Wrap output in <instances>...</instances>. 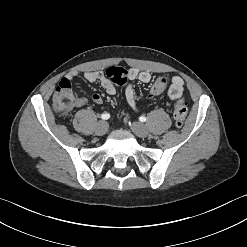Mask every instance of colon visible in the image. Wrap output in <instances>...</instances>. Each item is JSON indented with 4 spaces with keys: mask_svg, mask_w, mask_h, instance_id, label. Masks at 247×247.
<instances>
[{
    "mask_svg": "<svg viewBox=\"0 0 247 247\" xmlns=\"http://www.w3.org/2000/svg\"><path fill=\"white\" fill-rule=\"evenodd\" d=\"M105 76L116 85H124L129 77V72L123 67H110L105 71ZM168 77H159L151 88L152 95L162 93L168 84ZM74 96L71 92V86L67 83H59L53 96V104L60 112L69 111L74 104ZM187 115V106L183 99L179 98L173 107V116L177 128H181Z\"/></svg>",
    "mask_w": 247,
    "mask_h": 247,
    "instance_id": "colon-1",
    "label": "colon"
}]
</instances>
